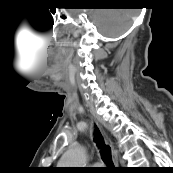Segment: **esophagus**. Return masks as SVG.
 Instances as JSON below:
<instances>
[{
    "label": "esophagus",
    "instance_id": "esophagus-1",
    "mask_svg": "<svg viewBox=\"0 0 173 173\" xmlns=\"http://www.w3.org/2000/svg\"><path fill=\"white\" fill-rule=\"evenodd\" d=\"M105 136H106L107 140L109 141V143H110V145H111V148H112V160H113V163H114V165H117V164H118L117 153H116V151H115V149H114V146H113V144H112L110 138H109L106 134H105Z\"/></svg>",
    "mask_w": 173,
    "mask_h": 173
}]
</instances>
